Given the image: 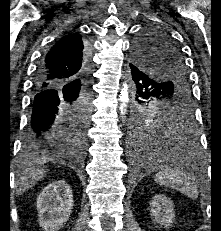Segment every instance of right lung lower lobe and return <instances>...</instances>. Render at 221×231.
Wrapping results in <instances>:
<instances>
[{"instance_id":"obj_1","label":"right lung lower lobe","mask_w":221,"mask_h":231,"mask_svg":"<svg viewBox=\"0 0 221 231\" xmlns=\"http://www.w3.org/2000/svg\"><path fill=\"white\" fill-rule=\"evenodd\" d=\"M43 73L38 70L37 74ZM35 79V95L29 127L22 143L24 158L77 155L82 157L85 144L73 138L65 127V114L80 103H90L91 71L80 81L39 86Z\"/></svg>"}]
</instances>
